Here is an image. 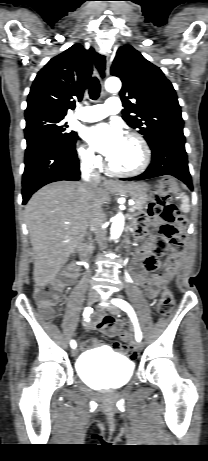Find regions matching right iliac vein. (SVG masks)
<instances>
[{"label":"right iliac vein","mask_w":208,"mask_h":461,"mask_svg":"<svg viewBox=\"0 0 208 461\" xmlns=\"http://www.w3.org/2000/svg\"><path fill=\"white\" fill-rule=\"evenodd\" d=\"M96 300H97L96 293L93 292V291H89L88 296H87V305H89V306L92 305ZM71 354H72L73 357L77 356L78 350L76 348H74L71 351Z\"/></svg>","instance_id":"1"}]
</instances>
